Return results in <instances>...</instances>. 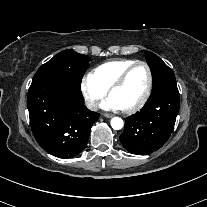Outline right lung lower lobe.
I'll list each match as a JSON object with an SVG mask.
<instances>
[{"mask_svg":"<svg viewBox=\"0 0 207 207\" xmlns=\"http://www.w3.org/2000/svg\"><path fill=\"white\" fill-rule=\"evenodd\" d=\"M27 107L36 141L61 158H72L85 148L100 116L86 108L81 90L52 80L31 84Z\"/></svg>","mask_w":207,"mask_h":207,"instance_id":"98d812e1","label":"right lung lower lobe"}]
</instances>
